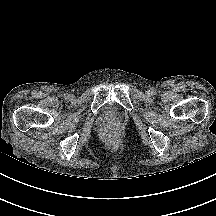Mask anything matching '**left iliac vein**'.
<instances>
[{
	"label": "left iliac vein",
	"instance_id": "4c4485c4",
	"mask_svg": "<svg viewBox=\"0 0 216 216\" xmlns=\"http://www.w3.org/2000/svg\"><path fill=\"white\" fill-rule=\"evenodd\" d=\"M151 92H152V89H150L149 91H147V94L150 95Z\"/></svg>",
	"mask_w": 216,
	"mask_h": 216
}]
</instances>
